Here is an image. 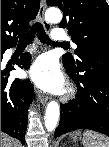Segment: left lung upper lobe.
<instances>
[{"mask_svg":"<svg viewBox=\"0 0 109 147\" xmlns=\"http://www.w3.org/2000/svg\"><path fill=\"white\" fill-rule=\"evenodd\" d=\"M47 4L62 10L63 20L59 26L68 29L77 45L75 59L70 54L63 56L66 67L75 69L84 52L109 55V5L106 0H47Z\"/></svg>","mask_w":109,"mask_h":147,"instance_id":"left-lung-upper-lobe-1","label":"left lung upper lobe"}]
</instances>
